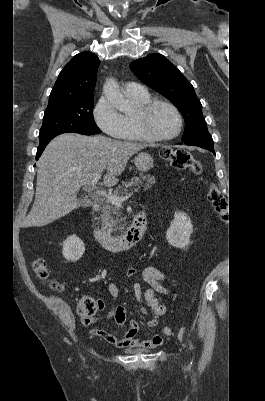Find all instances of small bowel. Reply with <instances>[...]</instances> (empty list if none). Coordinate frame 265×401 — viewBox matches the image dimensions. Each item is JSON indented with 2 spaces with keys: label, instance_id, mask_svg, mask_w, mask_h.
Instances as JSON below:
<instances>
[{
  "label": "small bowel",
  "instance_id": "c3829d8e",
  "mask_svg": "<svg viewBox=\"0 0 265 401\" xmlns=\"http://www.w3.org/2000/svg\"><path fill=\"white\" fill-rule=\"evenodd\" d=\"M136 272L137 271L135 268H131L128 271V275L132 276ZM141 274L144 281L148 283L149 287L143 291L141 285L139 283H135L133 285V292L135 298L144 305V307L140 308L141 312L150 316L147 321V326L153 328L158 326L160 318L166 313V306L156 297V293L168 295L170 294V290L164 284L166 275L158 268L153 266L146 267ZM107 288L110 296L116 300L119 296V289L117 285L110 282L108 283ZM126 317V307L116 304L109 310L105 316V320L113 318L119 327H123L126 322ZM97 320V318H86L83 319L82 322L83 324L88 325ZM138 332V322L136 320H131L129 322L128 329L125 331L122 337H116L108 330L98 329L92 330L91 334L101 337L106 342L117 348L152 349L161 345L162 337L160 335H154L147 340H140L136 338Z\"/></svg>",
  "mask_w": 265,
  "mask_h": 401
}]
</instances>
